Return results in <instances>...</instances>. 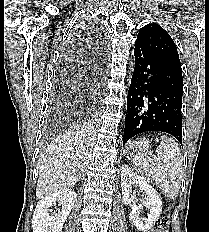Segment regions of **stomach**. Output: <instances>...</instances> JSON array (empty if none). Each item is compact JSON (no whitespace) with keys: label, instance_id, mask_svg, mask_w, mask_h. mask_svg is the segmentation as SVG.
<instances>
[{"label":"stomach","instance_id":"0dacf381","mask_svg":"<svg viewBox=\"0 0 209 232\" xmlns=\"http://www.w3.org/2000/svg\"><path fill=\"white\" fill-rule=\"evenodd\" d=\"M151 148L150 142L145 138H141L128 143L126 152L129 154L143 153Z\"/></svg>","mask_w":209,"mask_h":232}]
</instances>
